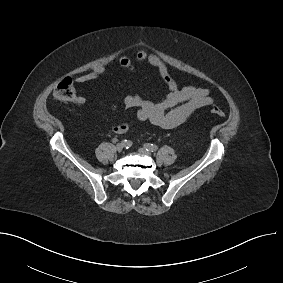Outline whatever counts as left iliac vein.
Returning <instances> with one entry per match:
<instances>
[{
	"label": "left iliac vein",
	"mask_w": 283,
	"mask_h": 283,
	"mask_svg": "<svg viewBox=\"0 0 283 283\" xmlns=\"http://www.w3.org/2000/svg\"><path fill=\"white\" fill-rule=\"evenodd\" d=\"M138 151H139V153H141L143 155L151 156V153L148 150H146L145 148H140Z\"/></svg>",
	"instance_id": "left-iliac-vein-1"
}]
</instances>
